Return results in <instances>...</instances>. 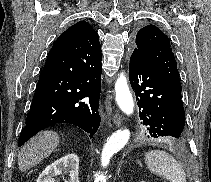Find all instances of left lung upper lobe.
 Wrapping results in <instances>:
<instances>
[{
    "label": "left lung upper lobe",
    "instance_id": "5c2ea615",
    "mask_svg": "<svg viewBox=\"0 0 211 182\" xmlns=\"http://www.w3.org/2000/svg\"><path fill=\"white\" fill-rule=\"evenodd\" d=\"M135 43L134 51H138L173 89L181 93L177 62L169 38L156 26L148 25L138 31Z\"/></svg>",
    "mask_w": 211,
    "mask_h": 182
}]
</instances>
